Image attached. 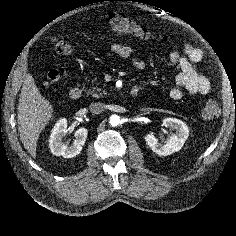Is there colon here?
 Segmentation results:
<instances>
[{
    "instance_id": "5ec220e1",
    "label": "colon",
    "mask_w": 236,
    "mask_h": 236,
    "mask_svg": "<svg viewBox=\"0 0 236 236\" xmlns=\"http://www.w3.org/2000/svg\"><path fill=\"white\" fill-rule=\"evenodd\" d=\"M110 29L117 34L132 36L138 39L146 40L153 37L152 33L145 27L140 26L135 21L124 14L113 12L107 17ZM55 49L62 56H69L73 52V46L70 40L66 38H54ZM64 72L62 69H51L46 73L45 79L41 84L43 89L60 80ZM220 114V108L214 100L205 103L202 109V117L205 120H213Z\"/></svg>"
}]
</instances>
